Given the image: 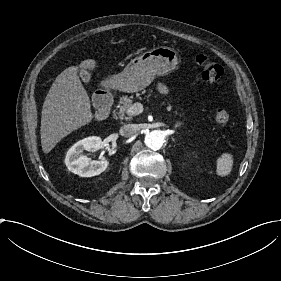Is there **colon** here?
<instances>
[{
  "label": "colon",
  "instance_id": "1",
  "mask_svg": "<svg viewBox=\"0 0 281 281\" xmlns=\"http://www.w3.org/2000/svg\"><path fill=\"white\" fill-rule=\"evenodd\" d=\"M196 64L203 81L211 87H219L224 84L226 75L224 70L217 65L210 57L198 55ZM230 120L229 112L225 108H217L214 112V122L217 127L228 126Z\"/></svg>",
  "mask_w": 281,
  "mask_h": 281
}]
</instances>
